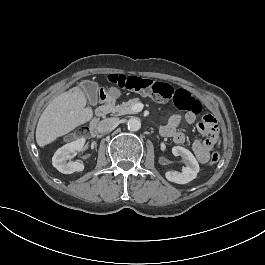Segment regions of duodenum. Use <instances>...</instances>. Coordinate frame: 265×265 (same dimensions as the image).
I'll return each instance as SVG.
<instances>
[{
  "mask_svg": "<svg viewBox=\"0 0 265 265\" xmlns=\"http://www.w3.org/2000/svg\"><path fill=\"white\" fill-rule=\"evenodd\" d=\"M98 94L100 95V104L96 108L94 118L90 124V134L92 137L98 136V120L116 111V108L114 107V98L107 94V91L104 88H101L98 91Z\"/></svg>",
  "mask_w": 265,
  "mask_h": 265,
  "instance_id": "obj_1",
  "label": "duodenum"
}]
</instances>
